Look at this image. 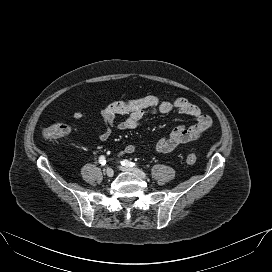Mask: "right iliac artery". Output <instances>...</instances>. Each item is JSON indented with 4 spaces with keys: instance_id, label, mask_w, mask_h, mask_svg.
I'll use <instances>...</instances> for the list:
<instances>
[{
    "instance_id": "82829eb1",
    "label": "right iliac artery",
    "mask_w": 272,
    "mask_h": 272,
    "mask_svg": "<svg viewBox=\"0 0 272 272\" xmlns=\"http://www.w3.org/2000/svg\"><path fill=\"white\" fill-rule=\"evenodd\" d=\"M99 163L104 166L106 164V158L104 156L99 157Z\"/></svg>"
}]
</instances>
